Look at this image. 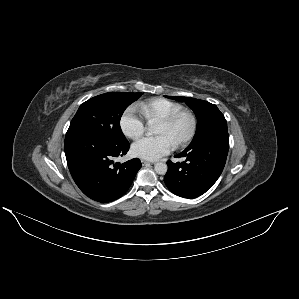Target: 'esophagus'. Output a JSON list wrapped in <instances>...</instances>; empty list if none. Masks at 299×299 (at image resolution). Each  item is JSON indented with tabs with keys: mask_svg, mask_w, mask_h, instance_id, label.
I'll use <instances>...</instances> for the list:
<instances>
[{
	"mask_svg": "<svg viewBox=\"0 0 299 299\" xmlns=\"http://www.w3.org/2000/svg\"><path fill=\"white\" fill-rule=\"evenodd\" d=\"M142 165H149V164H154V162L147 161V160H142Z\"/></svg>",
	"mask_w": 299,
	"mask_h": 299,
	"instance_id": "1",
	"label": "esophagus"
}]
</instances>
